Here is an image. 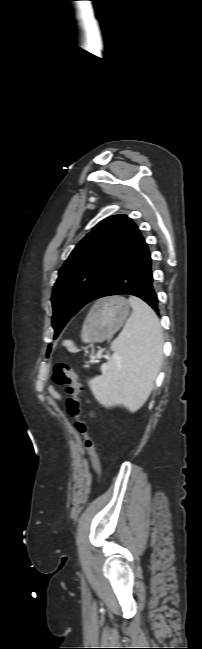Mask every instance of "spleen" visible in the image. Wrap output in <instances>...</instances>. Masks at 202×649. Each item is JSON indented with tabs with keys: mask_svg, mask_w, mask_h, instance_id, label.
Segmentation results:
<instances>
[{
	"mask_svg": "<svg viewBox=\"0 0 202 649\" xmlns=\"http://www.w3.org/2000/svg\"><path fill=\"white\" fill-rule=\"evenodd\" d=\"M133 312L112 342L115 352L101 376L89 380L95 398L105 406L123 404L136 411L147 401L162 360L163 334L153 309L138 297H130ZM70 352L77 349L66 340Z\"/></svg>",
	"mask_w": 202,
	"mask_h": 649,
	"instance_id": "1",
	"label": "spleen"
}]
</instances>
